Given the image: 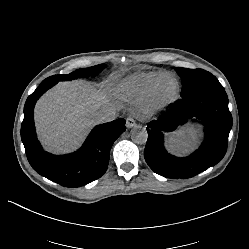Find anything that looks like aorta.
I'll return each instance as SVG.
<instances>
[{"mask_svg": "<svg viewBox=\"0 0 249 249\" xmlns=\"http://www.w3.org/2000/svg\"><path fill=\"white\" fill-rule=\"evenodd\" d=\"M131 139L136 144H145L148 139V133L143 128H134L131 131Z\"/></svg>", "mask_w": 249, "mask_h": 249, "instance_id": "obj_1", "label": "aorta"}]
</instances>
